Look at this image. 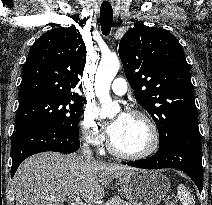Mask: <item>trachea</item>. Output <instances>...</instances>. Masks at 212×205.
Masks as SVG:
<instances>
[{
	"label": "trachea",
	"instance_id": "obj_1",
	"mask_svg": "<svg viewBox=\"0 0 212 205\" xmlns=\"http://www.w3.org/2000/svg\"><path fill=\"white\" fill-rule=\"evenodd\" d=\"M113 21V9L110 4H102L100 8V24L104 35H108L111 31Z\"/></svg>",
	"mask_w": 212,
	"mask_h": 205
}]
</instances>
